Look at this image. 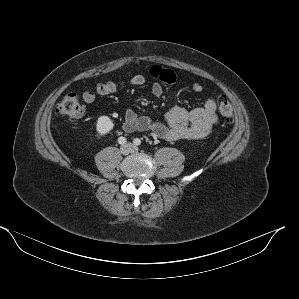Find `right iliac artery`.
<instances>
[{
  "label": "right iliac artery",
  "mask_w": 299,
  "mask_h": 299,
  "mask_svg": "<svg viewBox=\"0 0 299 299\" xmlns=\"http://www.w3.org/2000/svg\"><path fill=\"white\" fill-rule=\"evenodd\" d=\"M126 142H127V141H126V138H125V137L121 136V137L118 138V143H119V144L123 145V144H125Z\"/></svg>",
  "instance_id": "right-iliac-artery-1"
}]
</instances>
